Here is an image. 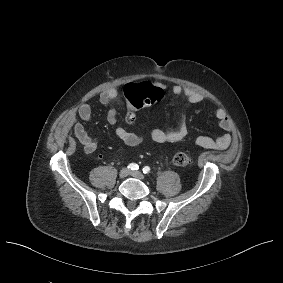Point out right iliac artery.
I'll list each match as a JSON object with an SVG mask.
<instances>
[{
	"label": "right iliac artery",
	"mask_w": 283,
	"mask_h": 283,
	"mask_svg": "<svg viewBox=\"0 0 283 283\" xmlns=\"http://www.w3.org/2000/svg\"><path fill=\"white\" fill-rule=\"evenodd\" d=\"M128 169H131V170H138L139 169V166L135 163H131L128 165Z\"/></svg>",
	"instance_id": "obj_1"
}]
</instances>
